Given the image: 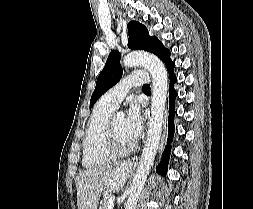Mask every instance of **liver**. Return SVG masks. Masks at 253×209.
<instances>
[{
  "instance_id": "obj_1",
  "label": "liver",
  "mask_w": 253,
  "mask_h": 209,
  "mask_svg": "<svg viewBox=\"0 0 253 209\" xmlns=\"http://www.w3.org/2000/svg\"><path fill=\"white\" fill-rule=\"evenodd\" d=\"M128 176L126 164H103L84 170L76 177L78 209H97L104 186L120 189Z\"/></svg>"
}]
</instances>
